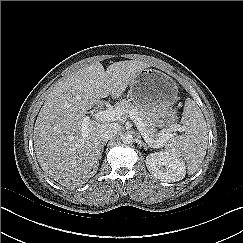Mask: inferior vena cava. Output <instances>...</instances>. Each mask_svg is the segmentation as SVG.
Segmentation results:
<instances>
[{"label":"inferior vena cava","mask_w":243,"mask_h":243,"mask_svg":"<svg viewBox=\"0 0 243 243\" xmlns=\"http://www.w3.org/2000/svg\"><path fill=\"white\" fill-rule=\"evenodd\" d=\"M121 131V127L116 123H108L100 129V139L102 141H108L115 137Z\"/></svg>","instance_id":"1"}]
</instances>
